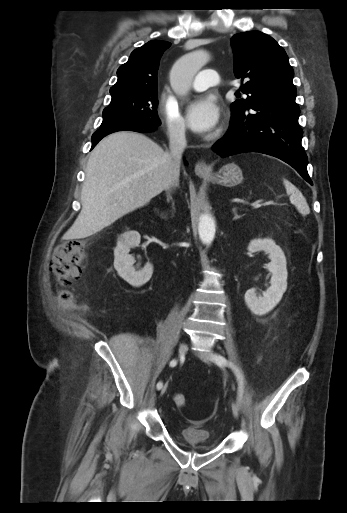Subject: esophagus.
Instances as JSON below:
<instances>
[{"instance_id": "esophagus-1", "label": "esophagus", "mask_w": 347, "mask_h": 513, "mask_svg": "<svg viewBox=\"0 0 347 513\" xmlns=\"http://www.w3.org/2000/svg\"><path fill=\"white\" fill-rule=\"evenodd\" d=\"M194 171H195L196 175H198V176H204V175H207L210 173L209 167L207 166L206 162L203 160H200L195 164Z\"/></svg>"}]
</instances>
